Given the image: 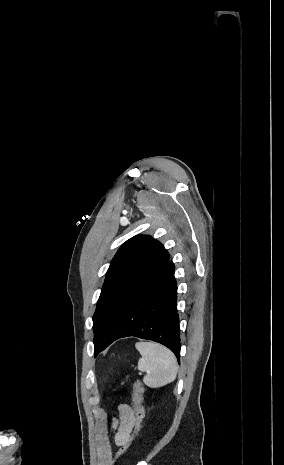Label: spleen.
Here are the masks:
<instances>
[{
    "label": "spleen",
    "mask_w": 284,
    "mask_h": 465,
    "mask_svg": "<svg viewBox=\"0 0 284 465\" xmlns=\"http://www.w3.org/2000/svg\"><path fill=\"white\" fill-rule=\"evenodd\" d=\"M135 347L141 355L138 371L147 373L143 379L147 387L158 389L176 379L177 361L169 349L159 343H136Z\"/></svg>",
    "instance_id": "1"
}]
</instances>
